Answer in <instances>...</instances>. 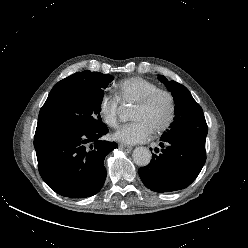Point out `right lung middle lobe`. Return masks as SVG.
Here are the masks:
<instances>
[{
    "label": "right lung middle lobe",
    "instance_id": "dd1d6c3e",
    "mask_svg": "<svg viewBox=\"0 0 248 248\" xmlns=\"http://www.w3.org/2000/svg\"><path fill=\"white\" fill-rule=\"evenodd\" d=\"M113 76L84 71L75 83L63 92L47 98L39 112L37 127L60 130L100 129L103 90Z\"/></svg>",
    "mask_w": 248,
    "mask_h": 248
}]
</instances>
